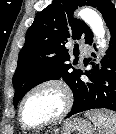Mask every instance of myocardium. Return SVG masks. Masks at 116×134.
<instances>
[{"label": "myocardium", "instance_id": "obj_1", "mask_svg": "<svg viewBox=\"0 0 116 134\" xmlns=\"http://www.w3.org/2000/svg\"><path fill=\"white\" fill-rule=\"evenodd\" d=\"M47 87H53L56 88L63 97V107L61 109V111L54 116L53 118L39 123V124H28L27 122H25L24 117H23V107L24 104L27 100V98L34 93L35 91L42 89V88H47ZM73 104V96L71 93V90L69 89V87L67 86L66 83H64L61 80L58 79H47V80H43L37 84H35L34 86H32L22 97L20 103H19V108H18V118H19V122L21 124V126L23 128H27V129H41V128H45L51 125H54L60 121H62L67 114L69 113L71 107Z\"/></svg>", "mask_w": 116, "mask_h": 134}]
</instances>
